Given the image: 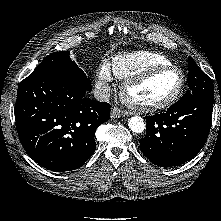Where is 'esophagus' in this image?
<instances>
[{
    "mask_svg": "<svg viewBox=\"0 0 221 221\" xmlns=\"http://www.w3.org/2000/svg\"><path fill=\"white\" fill-rule=\"evenodd\" d=\"M129 113L125 112V111H122L121 109L117 108V107H114L112 110H111V118H120V117H125V116H128Z\"/></svg>",
    "mask_w": 221,
    "mask_h": 221,
    "instance_id": "obj_1",
    "label": "esophagus"
}]
</instances>
